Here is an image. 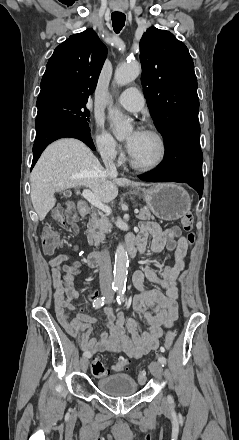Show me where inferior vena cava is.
I'll use <instances>...</instances> for the list:
<instances>
[{
    "label": "inferior vena cava",
    "instance_id": "1",
    "mask_svg": "<svg viewBox=\"0 0 239 440\" xmlns=\"http://www.w3.org/2000/svg\"><path fill=\"white\" fill-rule=\"evenodd\" d=\"M115 152H103L102 158L104 162V166L106 168V172L108 174H114L117 176V168L113 162ZM99 284L100 290L102 294L106 298V302H109V305H112V266H111V258L108 250H103L100 258V266H99Z\"/></svg>",
    "mask_w": 239,
    "mask_h": 440
}]
</instances>
